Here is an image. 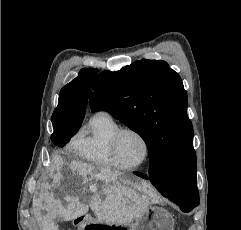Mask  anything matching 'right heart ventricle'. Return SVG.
Segmentation results:
<instances>
[{
	"mask_svg": "<svg viewBox=\"0 0 241 230\" xmlns=\"http://www.w3.org/2000/svg\"><path fill=\"white\" fill-rule=\"evenodd\" d=\"M119 128L117 121L107 112L93 115L76 149L80 158L90 163L116 166L109 152V141Z\"/></svg>",
	"mask_w": 241,
	"mask_h": 230,
	"instance_id": "e07e8e85",
	"label": "right heart ventricle"
}]
</instances>
